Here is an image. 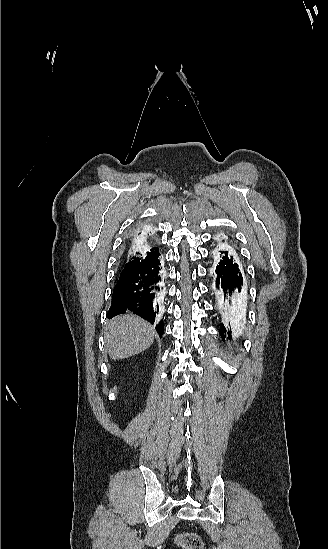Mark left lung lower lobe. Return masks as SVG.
<instances>
[{"label": "left lung lower lobe", "instance_id": "obj_1", "mask_svg": "<svg viewBox=\"0 0 328 549\" xmlns=\"http://www.w3.org/2000/svg\"><path fill=\"white\" fill-rule=\"evenodd\" d=\"M212 256L214 264L211 270V288L216 294L218 306L223 314L232 319L236 316L234 299L245 292L241 270L234 259V250L229 245L218 246L213 250ZM225 330L224 325H221L220 335L223 339ZM227 334L231 336V329Z\"/></svg>", "mask_w": 328, "mask_h": 549}]
</instances>
